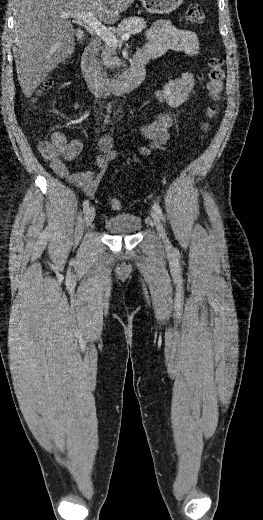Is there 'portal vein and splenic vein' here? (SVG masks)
<instances>
[{
  "label": "portal vein and splenic vein",
  "instance_id": "portal-vein-and-splenic-vein-1",
  "mask_svg": "<svg viewBox=\"0 0 263 520\" xmlns=\"http://www.w3.org/2000/svg\"><path fill=\"white\" fill-rule=\"evenodd\" d=\"M62 18L72 17L77 20H81L87 24L92 32L101 37V39L110 46H117L119 40L115 37V35L107 29L95 16L92 12H75V13H63L61 15ZM130 38V33L127 32L122 35L120 41H126Z\"/></svg>",
  "mask_w": 263,
  "mask_h": 520
}]
</instances>
